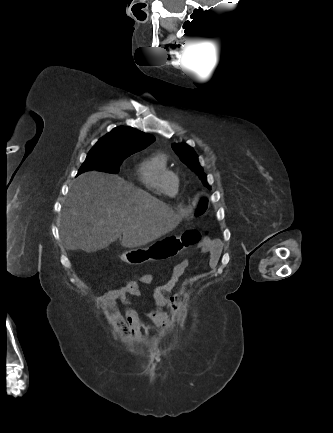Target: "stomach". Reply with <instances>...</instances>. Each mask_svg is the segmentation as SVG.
I'll return each mask as SVG.
<instances>
[{"instance_id": "stomach-1", "label": "stomach", "mask_w": 333, "mask_h": 433, "mask_svg": "<svg viewBox=\"0 0 333 433\" xmlns=\"http://www.w3.org/2000/svg\"><path fill=\"white\" fill-rule=\"evenodd\" d=\"M209 209L208 200L205 197H199V200L196 205L195 216L200 217L204 215Z\"/></svg>"}]
</instances>
